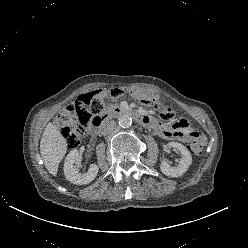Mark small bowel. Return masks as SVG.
Returning <instances> with one entry per match:
<instances>
[{
	"mask_svg": "<svg viewBox=\"0 0 248 248\" xmlns=\"http://www.w3.org/2000/svg\"><path fill=\"white\" fill-rule=\"evenodd\" d=\"M154 128L162 138L167 140L188 142L196 137L204 138L201 133L192 130L190 124L184 119H180L172 125L156 122Z\"/></svg>",
	"mask_w": 248,
	"mask_h": 248,
	"instance_id": "small-bowel-1",
	"label": "small bowel"
}]
</instances>
